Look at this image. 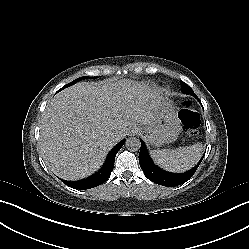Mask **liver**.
Listing matches in <instances>:
<instances>
[{"label":"liver","mask_w":249,"mask_h":249,"mask_svg":"<svg viewBox=\"0 0 249 249\" xmlns=\"http://www.w3.org/2000/svg\"><path fill=\"white\" fill-rule=\"evenodd\" d=\"M69 98L49 106L38 142L41 157L55 172L76 179L95 173L127 126L148 124L157 112V88L133 80L78 84Z\"/></svg>","instance_id":"liver-1"}]
</instances>
